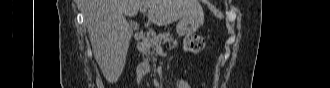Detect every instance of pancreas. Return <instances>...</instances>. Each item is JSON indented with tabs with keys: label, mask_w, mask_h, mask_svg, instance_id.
<instances>
[{
	"label": "pancreas",
	"mask_w": 330,
	"mask_h": 88,
	"mask_svg": "<svg viewBox=\"0 0 330 88\" xmlns=\"http://www.w3.org/2000/svg\"><path fill=\"white\" fill-rule=\"evenodd\" d=\"M165 43H169L171 48H175L177 45V41L173 39L169 32L147 36L141 43V51L147 57V59L150 55L152 58H154V50L156 47Z\"/></svg>",
	"instance_id": "obj_1"
}]
</instances>
